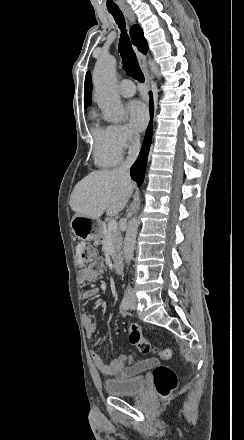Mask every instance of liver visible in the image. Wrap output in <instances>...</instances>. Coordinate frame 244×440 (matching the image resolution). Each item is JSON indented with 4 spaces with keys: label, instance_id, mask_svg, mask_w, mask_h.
I'll return each mask as SVG.
<instances>
[{
    "label": "liver",
    "instance_id": "obj_1",
    "mask_svg": "<svg viewBox=\"0 0 244 440\" xmlns=\"http://www.w3.org/2000/svg\"><path fill=\"white\" fill-rule=\"evenodd\" d=\"M133 184L126 176L116 170L91 172L76 184L70 198V208L76 214L99 220L107 216H117L125 208Z\"/></svg>",
    "mask_w": 244,
    "mask_h": 440
}]
</instances>
